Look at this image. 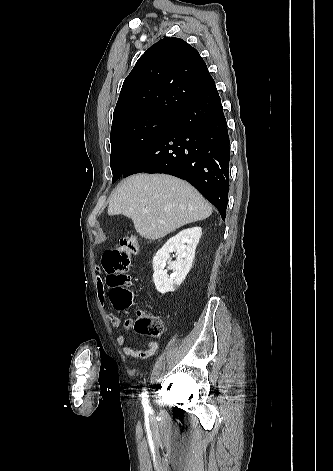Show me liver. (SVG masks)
Returning a JSON list of instances; mask_svg holds the SVG:
<instances>
[{"mask_svg": "<svg viewBox=\"0 0 333 471\" xmlns=\"http://www.w3.org/2000/svg\"><path fill=\"white\" fill-rule=\"evenodd\" d=\"M108 214L133 221L143 238L156 240L212 214L211 205L188 182L165 174L133 175L109 197Z\"/></svg>", "mask_w": 333, "mask_h": 471, "instance_id": "liver-1", "label": "liver"}]
</instances>
